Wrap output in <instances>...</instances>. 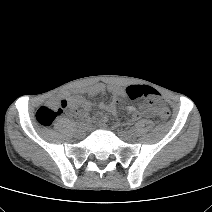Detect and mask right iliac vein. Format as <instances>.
<instances>
[{
    "label": "right iliac vein",
    "instance_id": "obj_1",
    "mask_svg": "<svg viewBox=\"0 0 212 212\" xmlns=\"http://www.w3.org/2000/svg\"><path fill=\"white\" fill-rule=\"evenodd\" d=\"M84 128H79L76 130V136L82 138L84 136Z\"/></svg>",
    "mask_w": 212,
    "mask_h": 212
}]
</instances>
